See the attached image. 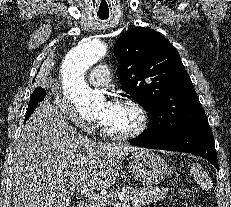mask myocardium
I'll use <instances>...</instances> for the list:
<instances>
[{"label":"myocardium","instance_id":"obj_1","mask_svg":"<svg viewBox=\"0 0 231 207\" xmlns=\"http://www.w3.org/2000/svg\"><path fill=\"white\" fill-rule=\"evenodd\" d=\"M115 103L127 104L132 107L139 117L138 127L128 133H116L111 131L101 120L99 122L101 132L107 138L117 141H128L143 135L149 127V115L144 106L130 96L120 95L115 98Z\"/></svg>","mask_w":231,"mask_h":207}]
</instances>
